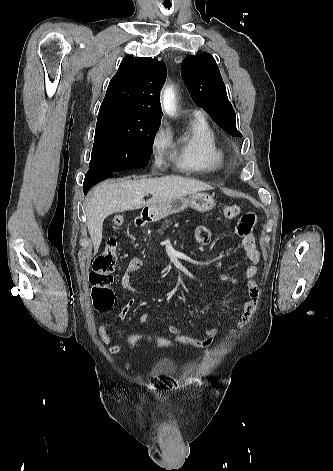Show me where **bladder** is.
<instances>
[{"instance_id": "bladder-1", "label": "bladder", "mask_w": 333, "mask_h": 471, "mask_svg": "<svg viewBox=\"0 0 333 471\" xmlns=\"http://www.w3.org/2000/svg\"><path fill=\"white\" fill-rule=\"evenodd\" d=\"M153 373L155 374H166L170 375L175 372V366L171 359L165 358L157 361L153 368Z\"/></svg>"}]
</instances>
